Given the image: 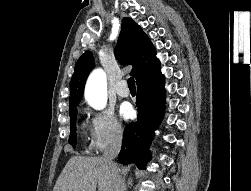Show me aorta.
Instances as JSON below:
<instances>
[{"label":"aorta","instance_id":"aorta-1","mask_svg":"<svg viewBox=\"0 0 251 191\" xmlns=\"http://www.w3.org/2000/svg\"><path fill=\"white\" fill-rule=\"evenodd\" d=\"M84 97L94 109H103L106 105V74L103 70H93L85 86Z\"/></svg>","mask_w":251,"mask_h":191}]
</instances>
